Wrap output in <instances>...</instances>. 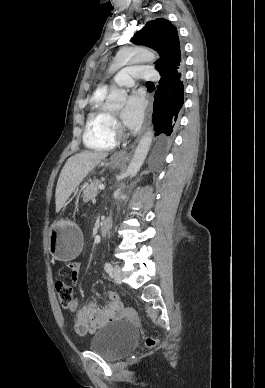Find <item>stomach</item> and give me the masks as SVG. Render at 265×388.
I'll list each match as a JSON object with an SVG mask.
<instances>
[{
  "label": "stomach",
  "mask_w": 265,
  "mask_h": 388,
  "mask_svg": "<svg viewBox=\"0 0 265 388\" xmlns=\"http://www.w3.org/2000/svg\"><path fill=\"white\" fill-rule=\"evenodd\" d=\"M124 163L122 158L112 157L110 165L114 168ZM82 234L78 226L68 220L60 219L54 222L50 230L49 250L54 258L60 261L74 259L80 252Z\"/></svg>",
  "instance_id": "obj_1"
}]
</instances>
